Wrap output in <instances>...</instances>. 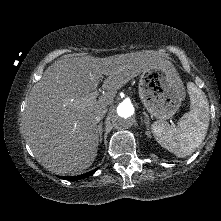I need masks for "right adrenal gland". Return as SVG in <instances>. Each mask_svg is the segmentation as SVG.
I'll return each instance as SVG.
<instances>
[{"mask_svg": "<svg viewBox=\"0 0 221 221\" xmlns=\"http://www.w3.org/2000/svg\"><path fill=\"white\" fill-rule=\"evenodd\" d=\"M103 122H100L98 125L99 130V141L102 142V134H103V128H102Z\"/></svg>", "mask_w": 221, "mask_h": 221, "instance_id": "1", "label": "right adrenal gland"}]
</instances>
